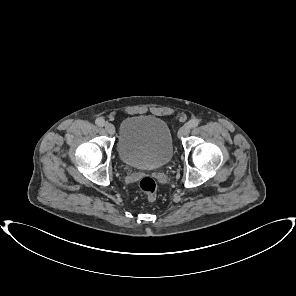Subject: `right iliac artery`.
Listing matches in <instances>:
<instances>
[{
	"instance_id": "obj_1",
	"label": "right iliac artery",
	"mask_w": 296,
	"mask_h": 296,
	"mask_svg": "<svg viewBox=\"0 0 296 296\" xmlns=\"http://www.w3.org/2000/svg\"><path fill=\"white\" fill-rule=\"evenodd\" d=\"M95 123L99 126V127H103L105 125V121L102 118H97Z\"/></svg>"
}]
</instances>
